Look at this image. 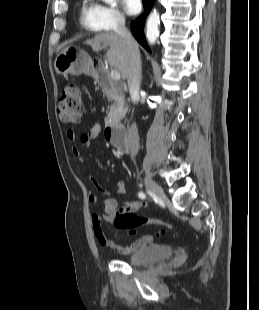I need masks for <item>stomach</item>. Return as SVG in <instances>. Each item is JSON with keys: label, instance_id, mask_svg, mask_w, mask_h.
Masks as SVG:
<instances>
[{"label": "stomach", "instance_id": "stomach-1", "mask_svg": "<svg viewBox=\"0 0 259 310\" xmlns=\"http://www.w3.org/2000/svg\"><path fill=\"white\" fill-rule=\"evenodd\" d=\"M55 70L62 75L92 74L91 59L77 47H66L55 59Z\"/></svg>", "mask_w": 259, "mask_h": 310}]
</instances>
